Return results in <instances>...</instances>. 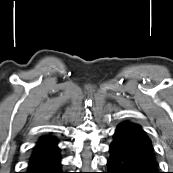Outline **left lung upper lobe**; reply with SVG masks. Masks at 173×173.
<instances>
[{
	"label": "left lung upper lobe",
	"instance_id": "1",
	"mask_svg": "<svg viewBox=\"0 0 173 173\" xmlns=\"http://www.w3.org/2000/svg\"><path fill=\"white\" fill-rule=\"evenodd\" d=\"M113 141L154 155L151 140L137 124L130 122L121 123L115 130Z\"/></svg>",
	"mask_w": 173,
	"mask_h": 173
}]
</instances>
